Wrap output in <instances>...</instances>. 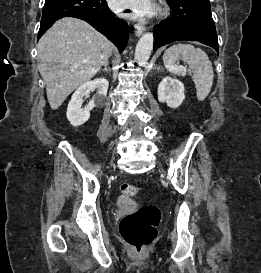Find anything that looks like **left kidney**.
I'll use <instances>...</instances> for the list:
<instances>
[{"instance_id": "5707ae66", "label": "left kidney", "mask_w": 261, "mask_h": 273, "mask_svg": "<svg viewBox=\"0 0 261 273\" xmlns=\"http://www.w3.org/2000/svg\"><path fill=\"white\" fill-rule=\"evenodd\" d=\"M184 99V85L181 81L165 77L160 82L158 86V100L160 102H166L170 108H178Z\"/></svg>"}]
</instances>
